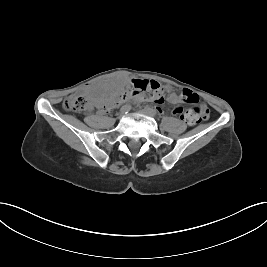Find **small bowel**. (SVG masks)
Segmentation results:
<instances>
[{"label":"small bowel","instance_id":"1","mask_svg":"<svg viewBox=\"0 0 267 267\" xmlns=\"http://www.w3.org/2000/svg\"><path fill=\"white\" fill-rule=\"evenodd\" d=\"M165 89H166V91L168 93V101L173 105H178V106H176V108L179 107V108L182 109V107L179 106V104L183 101L182 100V95L174 92L171 89V87H169V86H166ZM114 96H115V91L112 90L111 88H108L107 90H105L103 92L102 96L98 97L95 100V105L98 108V111L100 113L104 114V113L107 112V110L105 108V105ZM159 110H160V108H159ZM173 112H174V110H173ZM183 113L185 114V116H183L181 119H183L189 125H194L199 121L194 116L188 115V111L187 112L183 111Z\"/></svg>","mask_w":267,"mask_h":267}]
</instances>
